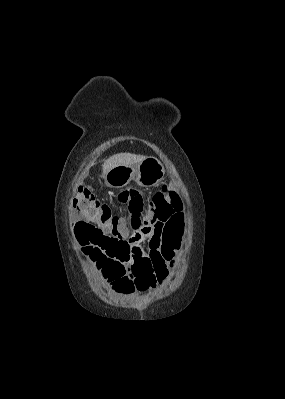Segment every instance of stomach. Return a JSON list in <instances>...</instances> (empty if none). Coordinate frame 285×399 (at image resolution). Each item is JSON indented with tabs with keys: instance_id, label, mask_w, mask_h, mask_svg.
<instances>
[{
	"instance_id": "0dacf381",
	"label": "stomach",
	"mask_w": 285,
	"mask_h": 399,
	"mask_svg": "<svg viewBox=\"0 0 285 399\" xmlns=\"http://www.w3.org/2000/svg\"><path fill=\"white\" fill-rule=\"evenodd\" d=\"M165 175L163 164L156 157H146L139 165H119L104 176L105 184L111 188H123L135 180L139 186L152 187Z\"/></svg>"
}]
</instances>
